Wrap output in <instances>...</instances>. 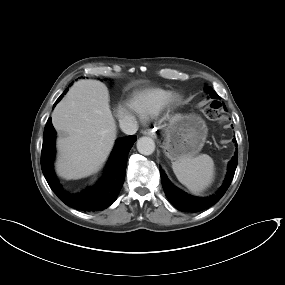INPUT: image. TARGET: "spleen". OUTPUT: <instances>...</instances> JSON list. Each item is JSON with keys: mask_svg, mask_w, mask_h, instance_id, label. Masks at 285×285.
Returning <instances> with one entry per match:
<instances>
[{"mask_svg": "<svg viewBox=\"0 0 285 285\" xmlns=\"http://www.w3.org/2000/svg\"><path fill=\"white\" fill-rule=\"evenodd\" d=\"M172 169L177 179L194 194L204 191L214 180V161L207 154L182 157L172 163Z\"/></svg>", "mask_w": 285, "mask_h": 285, "instance_id": "spleen-1", "label": "spleen"}]
</instances>
